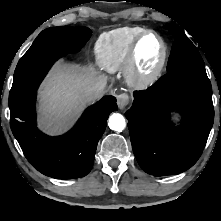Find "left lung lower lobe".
Wrapping results in <instances>:
<instances>
[{
	"instance_id": "0a47b994",
	"label": "left lung lower lobe",
	"mask_w": 221,
	"mask_h": 221,
	"mask_svg": "<svg viewBox=\"0 0 221 221\" xmlns=\"http://www.w3.org/2000/svg\"><path fill=\"white\" fill-rule=\"evenodd\" d=\"M171 109L182 113L180 127L170 122ZM125 115L140 167L155 176L179 174L199 159L212 128L211 83L207 75L167 73L148 89L135 91Z\"/></svg>"
}]
</instances>
